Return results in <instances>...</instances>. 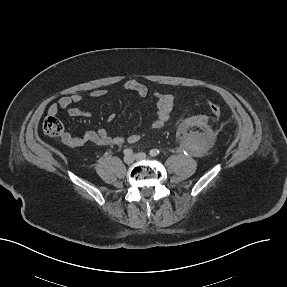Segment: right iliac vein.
I'll list each match as a JSON object with an SVG mask.
<instances>
[{"label":"right iliac vein","mask_w":287,"mask_h":287,"mask_svg":"<svg viewBox=\"0 0 287 287\" xmlns=\"http://www.w3.org/2000/svg\"><path fill=\"white\" fill-rule=\"evenodd\" d=\"M124 162L128 165L132 164L134 162V157L132 155H126L124 157Z\"/></svg>","instance_id":"right-iliac-vein-1"}]
</instances>
